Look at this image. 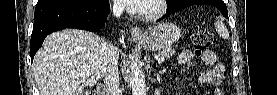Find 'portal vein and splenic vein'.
<instances>
[{"mask_svg": "<svg viewBox=\"0 0 277 95\" xmlns=\"http://www.w3.org/2000/svg\"><path fill=\"white\" fill-rule=\"evenodd\" d=\"M164 57H159L157 59L158 63L161 64L162 62H164ZM90 75V73H80V74H77V76H80V77H83V78H86Z\"/></svg>", "mask_w": 277, "mask_h": 95, "instance_id": "18ae733b", "label": "portal vein and splenic vein"}]
</instances>
